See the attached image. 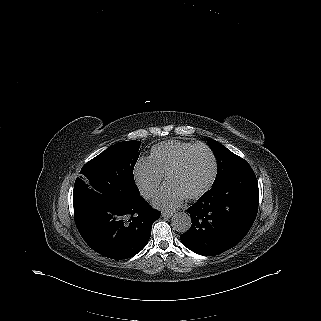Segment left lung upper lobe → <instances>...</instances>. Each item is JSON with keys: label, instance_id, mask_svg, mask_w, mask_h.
Returning <instances> with one entry per match:
<instances>
[{"label": "left lung upper lobe", "instance_id": "left-lung-upper-lobe-1", "mask_svg": "<svg viewBox=\"0 0 321 321\" xmlns=\"http://www.w3.org/2000/svg\"><path fill=\"white\" fill-rule=\"evenodd\" d=\"M208 145L215 153L218 163V171L213 185L221 182L233 172L251 168L246 160L234 154L219 142L210 140Z\"/></svg>", "mask_w": 321, "mask_h": 321}]
</instances>
